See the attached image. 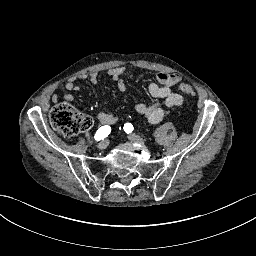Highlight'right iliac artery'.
<instances>
[{"mask_svg":"<svg viewBox=\"0 0 256 256\" xmlns=\"http://www.w3.org/2000/svg\"><path fill=\"white\" fill-rule=\"evenodd\" d=\"M110 132H111L110 126H108V125L102 126L97 130L94 138L98 141L101 139L103 140L110 134Z\"/></svg>","mask_w":256,"mask_h":256,"instance_id":"obj_1","label":"right iliac artery"}]
</instances>
